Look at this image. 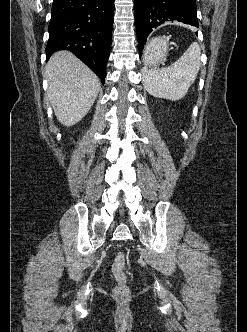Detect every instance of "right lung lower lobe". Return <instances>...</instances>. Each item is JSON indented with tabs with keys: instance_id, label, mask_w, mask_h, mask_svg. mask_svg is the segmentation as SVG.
Listing matches in <instances>:
<instances>
[{
	"instance_id": "1",
	"label": "right lung lower lobe",
	"mask_w": 247,
	"mask_h": 332,
	"mask_svg": "<svg viewBox=\"0 0 247 332\" xmlns=\"http://www.w3.org/2000/svg\"><path fill=\"white\" fill-rule=\"evenodd\" d=\"M115 0H54L49 23L47 58L70 50L105 82L110 54Z\"/></svg>"
}]
</instances>
